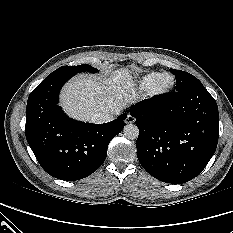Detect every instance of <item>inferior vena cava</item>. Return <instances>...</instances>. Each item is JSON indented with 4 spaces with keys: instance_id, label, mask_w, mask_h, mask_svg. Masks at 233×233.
Here are the masks:
<instances>
[{
    "instance_id": "obj_1",
    "label": "inferior vena cava",
    "mask_w": 233,
    "mask_h": 233,
    "mask_svg": "<svg viewBox=\"0 0 233 233\" xmlns=\"http://www.w3.org/2000/svg\"><path fill=\"white\" fill-rule=\"evenodd\" d=\"M114 118H115V115L113 114L97 113L92 116L91 121L93 123H106V122L113 120Z\"/></svg>"
}]
</instances>
